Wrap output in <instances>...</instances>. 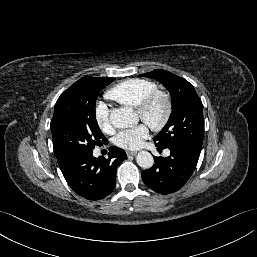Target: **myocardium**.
I'll list each match as a JSON object with an SVG mask.
<instances>
[{
	"instance_id": "1",
	"label": "myocardium",
	"mask_w": 257,
	"mask_h": 257,
	"mask_svg": "<svg viewBox=\"0 0 257 257\" xmlns=\"http://www.w3.org/2000/svg\"><path fill=\"white\" fill-rule=\"evenodd\" d=\"M161 102L164 107V112L161 119L158 122L151 123L146 121V117L152 106ZM137 113L140 118L146 122L153 130L160 131L162 130L169 122L172 111H173V101L169 92L165 90L156 89L153 92L149 93L136 107Z\"/></svg>"
}]
</instances>
